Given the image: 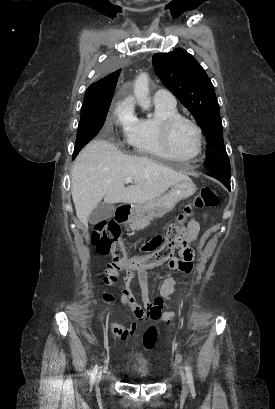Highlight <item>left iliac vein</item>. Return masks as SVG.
<instances>
[{"instance_id": "left-iliac-vein-1", "label": "left iliac vein", "mask_w": 275, "mask_h": 409, "mask_svg": "<svg viewBox=\"0 0 275 409\" xmlns=\"http://www.w3.org/2000/svg\"><path fill=\"white\" fill-rule=\"evenodd\" d=\"M181 380H182V386H183V390L184 391H188V382H187V378L184 374V372L181 371Z\"/></svg>"}]
</instances>
